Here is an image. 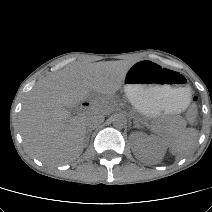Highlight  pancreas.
<instances>
[{
	"instance_id": "pancreas-1",
	"label": "pancreas",
	"mask_w": 212,
	"mask_h": 212,
	"mask_svg": "<svg viewBox=\"0 0 212 212\" xmlns=\"http://www.w3.org/2000/svg\"><path fill=\"white\" fill-rule=\"evenodd\" d=\"M169 131H172L173 130V128H170V129H168Z\"/></svg>"
}]
</instances>
